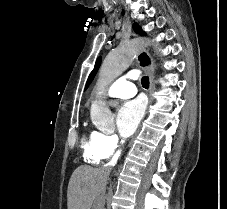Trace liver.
I'll return each mask as SVG.
<instances>
[{"label":"liver","mask_w":227,"mask_h":209,"mask_svg":"<svg viewBox=\"0 0 227 209\" xmlns=\"http://www.w3.org/2000/svg\"><path fill=\"white\" fill-rule=\"evenodd\" d=\"M99 177L98 169H92V167H87V165H81V167L75 169L68 185V209H90L92 193ZM88 199L89 205H86Z\"/></svg>","instance_id":"liver-1"}]
</instances>
